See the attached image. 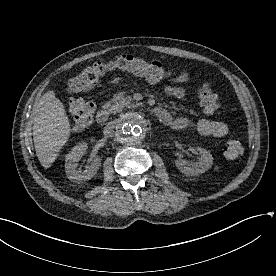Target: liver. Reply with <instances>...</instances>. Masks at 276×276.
Masks as SVG:
<instances>
[{"mask_svg": "<svg viewBox=\"0 0 276 276\" xmlns=\"http://www.w3.org/2000/svg\"><path fill=\"white\" fill-rule=\"evenodd\" d=\"M33 141L41 165L48 169L70 137V122L63 103L55 92H46L33 112Z\"/></svg>", "mask_w": 276, "mask_h": 276, "instance_id": "liver-1", "label": "liver"}]
</instances>
